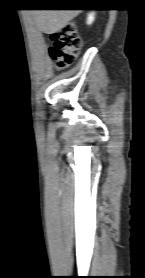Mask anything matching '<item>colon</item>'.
<instances>
[{"label": "colon", "instance_id": "obj_1", "mask_svg": "<svg viewBox=\"0 0 145 278\" xmlns=\"http://www.w3.org/2000/svg\"><path fill=\"white\" fill-rule=\"evenodd\" d=\"M50 54L58 69L72 65L78 56L81 39L74 23H67L62 28L50 32Z\"/></svg>", "mask_w": 145, "mask_h": 278}]
</instances>
